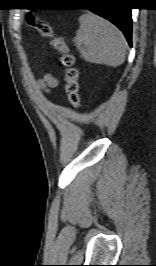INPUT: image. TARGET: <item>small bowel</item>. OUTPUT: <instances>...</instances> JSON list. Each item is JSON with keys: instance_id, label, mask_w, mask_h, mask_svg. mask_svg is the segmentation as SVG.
<instances>
[{"instance_id": "1", "label": "small bowel", "mask_w": 156, "mask_h": 266, "mask_svg": "<svg viewBox=\"0 0 156 266\" xmlns=\"http://www.w3.org/2000/svg\"><path fill=\"white\" fill-rule=\"evenodd\" d=\"M59 84V80L53 76L52 74H45L40 80L39 85L40 87L46 92L50 93L51 90L57 87Z\"/></svg>"}]
</instances>
